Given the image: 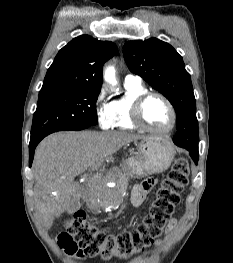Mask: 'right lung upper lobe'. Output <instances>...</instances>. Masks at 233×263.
I'll return each mask as SVG.
<instances>
[{"mask_svg": "<svg viewBox=\"0 0 233 263\" xmlns=\"http://www.w3.org/2000/svg\"><path fill=\"white\" fill-rule=\"evenodd\" d=\"M117 53L112 42L88 35L74 38L58 52L39 95L70 89H100L103 64Z\"/></svg>", "mask_w": 233, "mask_h": 263, "instance_id": "obj_1", "label": "right lung upper lobe"}]
</instances>
